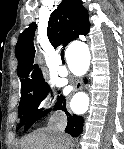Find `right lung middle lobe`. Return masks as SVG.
Wrapping results in <instances>:
<instances>
[{
	"instance_id": "dd1d6c3e",
	"label": "right lung middle lobe",
	"mask_w": 124,
	"mask_h": 149,
	"mask_svg": "<svg viewBox=\"0 0 124 149\" xmlns=\"http://www.w3.org/2000/svg\"><path fill=\"white\" fill-rule=\"evenodd\" d=\"M49 92L47 83H41L34 87H21V100L19 103V128L26 123L28 118L34 114L42 113L37 108Z\"/></svg>"
}]
</instances>
